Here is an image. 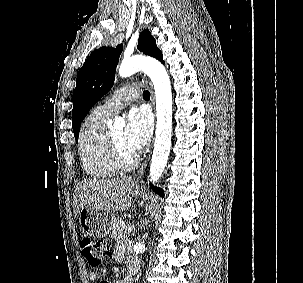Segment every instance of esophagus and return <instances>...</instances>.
I'll return each instance as SVG.
<instances>
[{
    "label": "esophagus",
    "instance_id": "obj_1",
    "mask_svg": "<svg viewBox=\"0 0 303 283\" xmlns=\"http://www.w3.org/2000/svg\"><path fill=\"white\" fill-rule=\"evenodd\" d=\"M145 82L146 84H148L149 88H150V91H151V103H152V106L154 108V105H155V97H154V92H153V89H152V85L150 83V81L148 79H145ZM150 155L151 153L148 154L147 158L145 159V161L143 162V164L141 165V167L139 168L138 170V173L136 175V183L137 184H142L143 183V180H142V176L145 172V169L148 165V162L150 160Z\"/></svg>",
    "mask_w": 303,
    "mask_h": 283
}]
</instances>
